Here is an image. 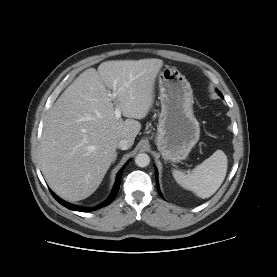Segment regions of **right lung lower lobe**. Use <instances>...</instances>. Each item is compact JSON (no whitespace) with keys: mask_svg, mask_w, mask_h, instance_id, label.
I'll list each match as a JSON object with an SVG mask.
<instances>
[{"mask_svg":"<svg viewBox=\"0 0 277 277\" xmlns=\"http://www.w3.org/2000/svg\"><path fill=\"white\" fill-rule=\"evenodd\" d=\"M124 168H125V166L117 174V179H116V182H115V185H114V188H113V191H112L110 197L103 204H101L100 206L95 207V208H85V207H80L77 205L67 203V202L63 201L61 198H59L57 195H55L51 190L50 191H51V194L53 195V197L56 199V201H58L61 205L65 206L66 208H68L70 210H75V211H80V212L93 211V210L102 208L113 202V200L115 199V197L119 191V188H120V181H121V176H122Z\"/></svg>","mask_w":277,"mask_h":277,"instance_id":"98d812e1","label":"right lung lower lobe"}]
</instances>
